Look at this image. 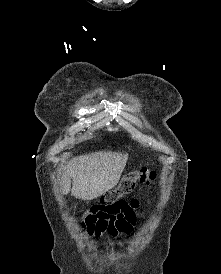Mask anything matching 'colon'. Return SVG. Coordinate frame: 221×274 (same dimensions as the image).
<instances>
[{
    "label": "colon",
    "mask_w": 221,
    "mask_h": 274,
    "mask_svg": "<svg viewBox=\"0 0 221 274\" xmlns=\"http://www.w3.org/2000/svg\"><path fill=\"white\" fill-rule=\"evenodd\" d=\"M155 178V173L148 168H141L137 171L124 175L117 188L107 192L101 204L111 205L120 200L124 195L131 193L137 184H149Z\"/></svg>",
    "instance_id": "colon-1"
}]
</instances>
